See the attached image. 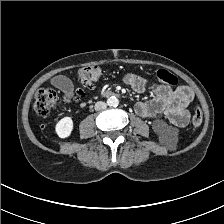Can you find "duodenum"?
Instances as JSON below:
<instances>
[{
	"label": "duodenum",
	"mask_w": 224,
	"mask_h": 224,
	"mask_svg": "<svg viewBox=\"0 0 224 224\" xmlns=\"http://www.w3.org/2000/svg\"><path fill=\"white\" fill-rule=\"evenodd\" d=\"M103 93H104L105 95H111V91H109V90H104Z\"/></svg>",
	"instance_id": "410a0bca"
}]
</instances>
